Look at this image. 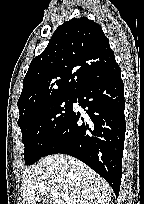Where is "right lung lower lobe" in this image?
Wrapping results in <instances>:
<instances>
[{"instance_id": "obj_1", "label": "right lung lower lobe", "mask_w": 144, "mask_h": 204, "mask_svg": "<svg viewBox=\"0 0 144 204\" xmlns=\"http://www.w3.org/2000/svg\"><path fill=\"white\" fill-rule=\"evenodd\" d=\"M74 102L86 113L72 111L43 157L63 153L83 161L111 185L118 197L126 123L124 85L116 61L88 82Z\"/></svg>"}]
</instances>
